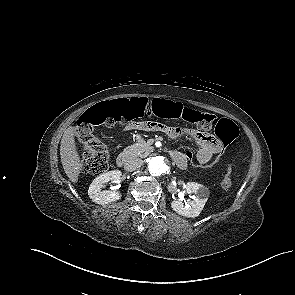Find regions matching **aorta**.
<instances>
[{
	"instance_id": "aorta-1",
	"label": "aorta",
	"mask_w": 295,
	"mask_h": 295,
	"mask_svg": "<svg viewBox=\"0 0 295 295\" xmlns=\"http://www.w3.org/2000/svg\"><path fill=\"white\" fill-rule=\"evenodd\" d=\"M148 168L152 175L160 176L168 171L169 166L162 156H156L151 158Z\"/></svg>"
}]
</instances>
